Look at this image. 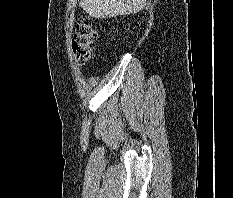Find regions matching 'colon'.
<instances>
[{
  "mask_svg": "<svg viewBox=\"0 0 233 198\" xmlns=\"http://www.w3.org/2000/svg\"><path fill=\"white\" fill-rule=\"evenodd\" d=\"M96 29L88 16L79 18L76 33L72 39V50L79 63L85 64L92 58Z\"/></svg>",
  "mask_w": 233,
  "mask_h": 198,
  "instance_id": "colon-1",
  "label": "colon"
}]
</instances>
